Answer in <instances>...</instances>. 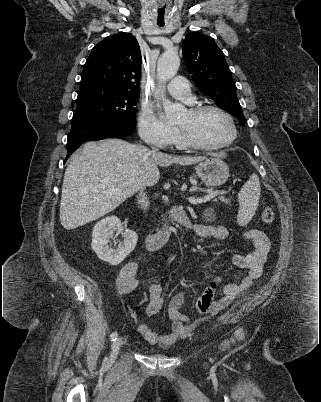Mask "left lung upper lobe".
I'll use <instances>...</instances> for the list:
<instances>
[{
  "label": "left lung upper lobe",
  "mask_w": 321,
  "mask_h": 402,
  "mask_svg": "<svg viewBox=\"0 0 321 402\" xmlns=\"http://www.w3.org/2000/svg\"><path fill=\"white\" fill-rule=\"evenodd\" d=\"M183 56L199 89L221 109L245 122L231 71L214 39L198 32L189 33L183 42Z\"/></svg>",
  "instance_id": "5c2ea615"
}]
</instances>
